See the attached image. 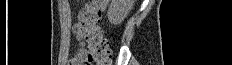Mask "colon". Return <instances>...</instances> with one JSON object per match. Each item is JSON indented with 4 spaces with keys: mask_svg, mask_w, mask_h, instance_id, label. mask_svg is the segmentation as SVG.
Returning <instances> with one entry per match:
<instances>
[{
    "mask_svg": "<svg viewBox=\"0 0 232 65\" xmlns=\"http://www.w3.org/2000/svg\"><path fill=\"white\" fill-rule=\"evenodd\" d=\"M106 0H92L80 12V22L85 33L87 64L110 65L111 54L107 39L99 23L106 8Z\"/></svg>",
    "mask_w": 232,
    "mask_h": 65,
    "instance_id": "1",
    "label": "colon"
}]
</instances>
